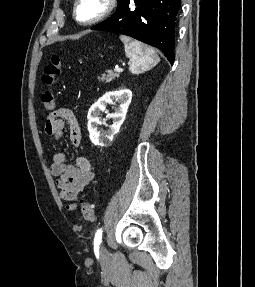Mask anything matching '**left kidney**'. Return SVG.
<instances>
[{"mask_svg":"<svg viewBox=\"0 0 255 287\" xmlns=\"http://www.w3.org/2000/svg\"><path fill=\"white\" fill-rule=\"evenodd\" d=\"M132 92L131 90H118V92H106L102 98H99L98 102H95L91 106L88 112V132L89 138L92 144L102 145L106 147L112 142L115 134L119 132L120 126H122L127 110L131 104ZM108 104H119L118 108H114V114H107L108 118L113 120L112 126H109V130L105 134H101L99 126L104 124L101 118V112H107L106 108Z\"/></svg>","mask_w":255,"mask_h":287,"instance_id":"1","label":"left kidney"}]
</instances>
